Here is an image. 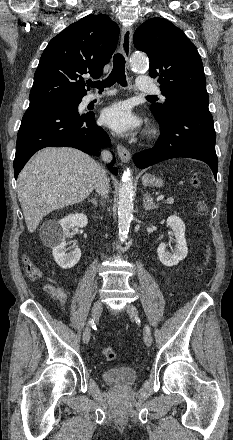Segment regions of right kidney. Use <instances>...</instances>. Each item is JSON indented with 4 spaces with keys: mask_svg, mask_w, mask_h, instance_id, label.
I'll return each mask as SVG.
<instances>
[{
    "mask_svg": "<svg viewBox=\"0 0 233 440\" xmlns=\"http://www.w3.org/2000/svg\"><path fill=\"white\" fill-rule=\"evenodd\" d=\"M87 224V216L82 213L70 214L59 221L49 220L44 224L41 239L52 248L54 260L62 269L74 267L81 257L78 247L66 253V238L70 236V230L74 227L83 228Z\"/></svg>",
    "mask_w": 233,
    "mask_h": 440,
    "instance_id": "ca27d5eb",
    "label": "right kidney"
}]
</instances>
